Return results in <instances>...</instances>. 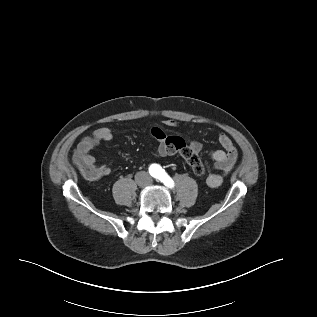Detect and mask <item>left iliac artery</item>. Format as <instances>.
I'll list each match as a JSON object with an SVG mask.
<instances>
[{"instance_id": "1", "label": "left iliac artery", "mask_w": 317, "mask_h": 317, "mask_svg": "<svg viewBox=\"0 0 317 317\" xmlns=\"http://www.w3.org/2000/svg\"><path fill=\"white\" fill-rule=\"evenodd\" d=\"M157 178L167 187L169 188L174 187V181L163 169L160 170Z\"/></svg>"}]
</instances>
